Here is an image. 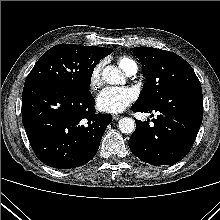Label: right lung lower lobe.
<instances>
[{"label":"right lung lower lobe","mask_w":220,"mask_h":220,"mask_svg":"<svg viewBox=\"0 0 220 220\" xmlns=\"http://www.w3.org/2000/svg\"><path fill=\"white\" fill-rule=\"evenodd\" d=\"M91 93L70 88L24 86L23 125L38 159L69 169L89 162L97 153L110 114H96Z\"/></svg>","instance_id":"98d812e1"}]
</instances>
